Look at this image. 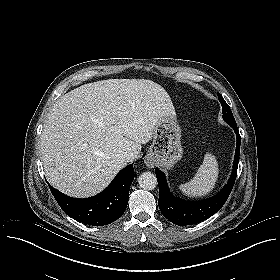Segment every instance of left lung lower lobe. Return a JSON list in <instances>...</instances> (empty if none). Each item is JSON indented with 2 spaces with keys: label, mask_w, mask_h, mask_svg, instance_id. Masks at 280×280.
Returning a JSON list of instances; mask_svg holds the SVG:
<instances>
[{
  "label": "left lung lower lobe",
  "mask_w": 280,
  "mask_h": 280,
  "mask_svg": "<svg viewBox=\"0 0 280 280\" xmlns=\"http://www.w3.org/2000/svg\"><path fill=\"white\" fill-rule=\"evenodd\" d=\"M237 137L236 152L232 174L227 185L215 196L203 201H185L174 197L169 191L165 174L155 168L158 185V205L162 214L172 223L178 226L199 223L218 212L228 199L237 176L239 163L241 137L237 126H231Z\"/></svg>",
  "instance_id": "obj_1"
}]
</instances>
